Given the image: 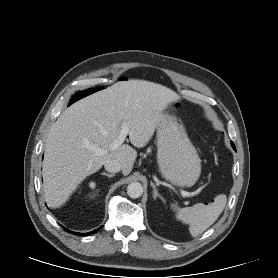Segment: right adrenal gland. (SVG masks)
<instances>
[{
  "instance_id": "obj_1",
  "label": "right adrenal gland",
  "mask_w": 278,
  "mask_h": 278,
  "mask_svg": "<svg viewBox=\"0 0 278 278\" xmlns=\"http://www.w3.org/2000/svg\"><path fill=\"white\" fill-rule=\"evenodd\" d=\"M101 175L107 176L108 178L114 177L115 174H108L106 172L101 173Z\"/></svg>"
}]
</instances>
